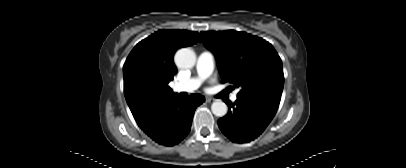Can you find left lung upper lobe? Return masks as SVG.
<instances>
[{"label":"left lung upper lobe","mask_w":406,"mask_h":168,"mask_svg":"<svg viewBox=\"0 0 406 168\" xmlns=\"http://www.w3.org/2000/svg\"><path fill=\"white\" fill-rule=\"evenodd\" d=\"M218 63L222 83L240 89L237 97L280 103L284 85L282 61L274 47L245 32H201Z\"/></svg>","instance_id":"1"}]
</instances>
